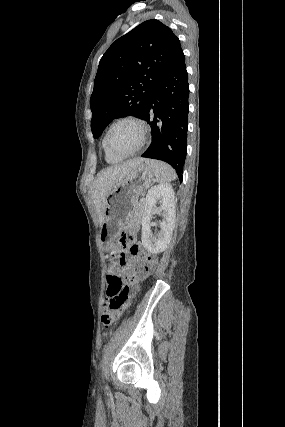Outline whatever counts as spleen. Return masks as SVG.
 <instances>
[{
    "label": "spleen",
    "instance_id": "1",
    "mask_svg": "<svg viewBox=\"0 0 285 427\" xmlns=\"http://www.w3.org/2000/svg\"><path fill=\"white\" fill-rule=\"evenodd\" d=\"M145 163L153 170L157 182L166 183L176 179L175 171L168 164L150 159L145 160Z\"/></svg>",
    "mask_w": 285,
    "mask_h": 427
}]
</instances>
